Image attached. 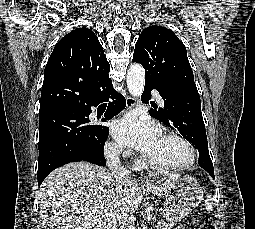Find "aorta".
<instances>
[{"mask_svg":"<svg viewBox=\"0 0 255 229\" xmlns=\"http://www.w3.org/2000/svg\"><path fill=\"white\" fill-rule=\"evenodd\" d=\"M126 82L130 94L141 97L145 85V71L140 64L134 63L129 67Z\"/></svg>","mask_w":255,"mask_h":229,"instance_id":"obj_1","label":"aorta"}]
</instances>
